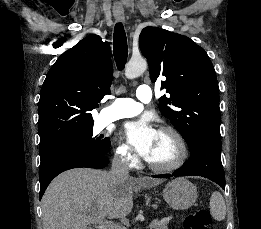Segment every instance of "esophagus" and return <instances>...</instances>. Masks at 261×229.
I'll list each match as a JSON object with an SVG mask.
<instances>
[{
    "label": "esophagus",
    "instance_id": "1",
    "mask_svg": "<svg viewBox=\"0 0 261 229\" xmlns=\"http://www.w3.org/2000/svg\"><path fill=\"white\" fill-rule=\"evenodd\" d=\"M115 19H116L118 22H124V21H125L124 15H115Z\"/></svg>",
    "mask_w": 261,
    "mask_h": 229
}]
</instances>
